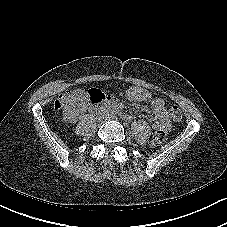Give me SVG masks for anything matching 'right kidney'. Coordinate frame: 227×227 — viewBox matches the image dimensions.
<instances>
[{
    "mask_svg": "<svg viewBox=\"0 0 227 227\" xmlns=\"http://www.w3.org/2000/svg\"><path fill=\"white\" fill-rule=\"evenodd\" d=\"M79 101L80 98L78 97L70 96L68 98L63 110V117L65 121L72 123L76 122L81 111L80 104H78Z\"/></svg>",
    "mask_w": 227,
    "mask_h": 227,
    "instance_id": "obj_1",
    "label": "right kidney"
}]
</instances>
